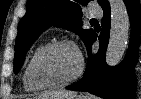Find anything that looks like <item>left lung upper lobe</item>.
Masks as SVG:
<instances>
[{
	"instance_id": "5c2ea615",
	"label": "left lung upper lobe",
	"mask_w": 141,
	"mask_h": 99,
	"mask_svg": "<svg viewBox=\"0 0 141 99\" xmlns=\"http://www.w3.org/2000/svg\"><path fill=\"white\" fill-rule=\"evenodd\" d=\"M89 0H28L27 12L19 23L15 44L14 72L17 74L25 60V55L32 43L51 25L65 27L76 31L85 44L94 34L92 29H82L81 5H87ZM103 8L107 0H98Z\"/></svg>"
}]
</instances>
